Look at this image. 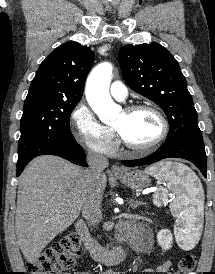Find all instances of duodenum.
<instances>
[{"label": "duodenum", "instance_id": "duodenum-1", "mask_svg": "<svg viewBox=\"0 0 215 274\" xmlns=\"http://www.w3.org/2000/svg\"><path fill=\"white\" fill-rule=\"evenodd\" d=\"M76 231L83 243L84 248L90 253L91 257L106 265H118L127 259V251L121 246L107 249L99 244L89 233L84 220L76 223Z\"/></svg>", "mask_w": 215, "mask_h": 274}]
</instances>
